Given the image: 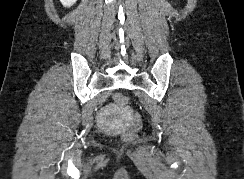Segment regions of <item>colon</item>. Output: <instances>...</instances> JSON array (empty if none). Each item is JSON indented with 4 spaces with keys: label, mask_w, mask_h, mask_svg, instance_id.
Returning <instances> with one entry per match:
<instances>
[{
    "label": "colon",
    "mask_w": 244,
    "mask_h": 179,
    "mask_svg": "<svg viewBox=\"0 0 244 179\" xmlns=\"http://www.w3.org/2000/svg\"><path fill=\"white\" fill-rule=\"evenodd\" d=\"M113 101H117L121 104H126L127 107L131 106L129 96H122V93H113ZM132 121L134 125H131L129 129L130 133H123L121 138L122 142H133L134 138H138L137 130H140V125L144 124V121L141 120L140 112H133Z\"/></svg>",
    "instance_id": "5ec220e1"
}]
</instances>
